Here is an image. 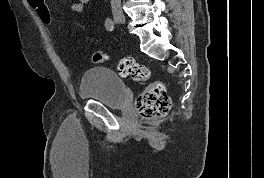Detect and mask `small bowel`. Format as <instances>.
<instances>
[{
	"label": "small bowel",
	"mask_w": 264,
	"mask_h": 178,
	"mask_svg": "<svg viewBox=\"0 0 264 178\" xmlns=\"http://www.w3.org/2000/svg\"><path fill=\"white\" fill-rule=\"evenodd\" d=\"M90 0H74L70 5V10L74 13H83Z\"/></svg>",
	"instance_id": "small-bowel-1"
}]
</instances>
